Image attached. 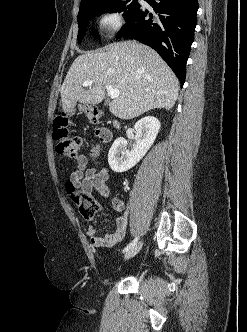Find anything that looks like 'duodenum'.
<instances>
[{"instance_id":"duodenum-1","label":"duodenum","mask_w":247,"mask_h":332,"mask_svg":"<svg viewBox=\"0 0 247 332\" xmlns=\"http://www.w3.org/2000/svg\"><path fill=\"white\" fill-rule=\"evenodd\" d=\"M114 127H115V128H119V127H120V124H119L118 121H114Z\"/></svg>"}]
</instances>
